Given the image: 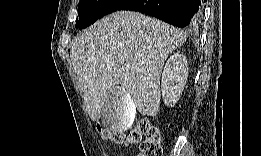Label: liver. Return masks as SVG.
<instances>
[{
	"mask_svg": "<svg viewBox=\"0 0 261 156\" xmlns=\"http://www.w3.org/2000/svg\"><path fill=\"white\" fill-rule=\"evenodd\" d=\"M185 41L182 30L132 11L112 13L79 33L70 59L91 120L99 121L110 97L132 106L131 115L113 126L115 132L131 127L136 109L156 116L165 60Z\"/></svg>",
	"mask_w": 261,
	"mask_h": 156,
	"instance_id": "liver-1",
	"label": "liver"
}]
</instances>
